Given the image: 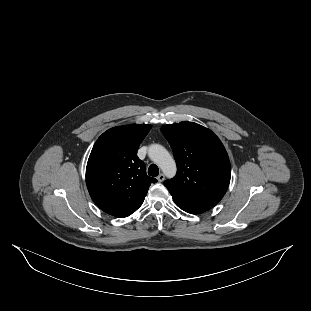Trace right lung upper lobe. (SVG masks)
Listing matches in <instances>:
<instances>
[{
	"label": "right lung upper lobe",
	"instance_id": "1",
	"mask_svg": "<svg viewBox=\"0 0 311 311\" xmlns=\"http://www.w3.org/2000/svg\"><path fill=\"white\" fill-rule=\"evenodd\" d=\"M151 125L131 124L104 132L95 142L86 168V184L94 203L115 217H127L143 203L155 178L137 156Z\"/></svg>",
	"mask_w": 311,
	"mask_h": 311
}]
</instances>
